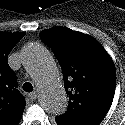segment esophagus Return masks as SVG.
I'll return each instance as SVG.
<instances>
[{
    "mask_svg": "<svg viewBox=\"0 0 125 125\" xmlns=\"http://www.w3.org/2000/svg\"><path fill=\"white\" fill-rule=\"evenodd\" d=\"M37 96H38V92L37 91H34V92L28 94V97L31 100H35L37 98Z\"/></svg>",
    "mask_w": 125,
    "mask_h": 125,
    "instance_id": "1",
    "label": "esophagus"
}]
</instances>
